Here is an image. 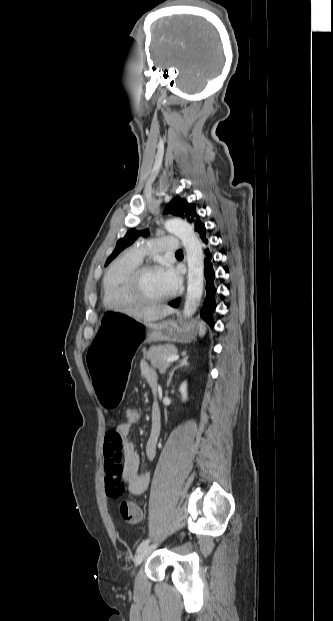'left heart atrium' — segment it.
<instances>
[{
    "label": "left heart atrium",
    "mask_w": 333,
    "mask_h": 621,
    "mask_svg": "<svg viewBox=\"0 0 333 621\" xmlns=\"http://www.w3.org/2000/svg\"><path fill=\"white\" fill-rule=\"evenodd\" d=\"M158 274L164 282L169 293L176 290L180 285V276L170 265H164L158 269Z\"/></svg>",
    "instance_id": "39dd6f15"
}]
</instances>
